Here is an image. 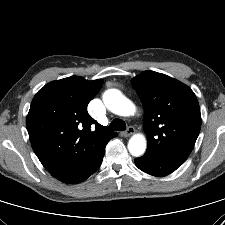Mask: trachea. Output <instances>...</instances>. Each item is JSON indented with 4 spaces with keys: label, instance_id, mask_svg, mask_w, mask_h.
I'll list each match as a JSON object with an SVG mask.
<instances>
[{
    "label": "trachea",
    "instance_id": "obj_1",
    "mask_svg": "<svg viewBox=\"0 0 225 225\" xmlns=\"http://www.w3.org/2000/svg\"><path fill=\"white\" fill-rule=\"evenodd\" d=\"M109 131H124L126 130V124L122 119H114L109 127H108Z\"/></svg>",
    "mask_w": 225,
    "mask_h": 225
}]
</instances>
